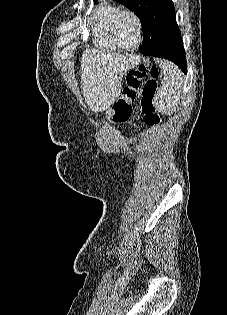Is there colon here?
<instances>
[{
	"label": "colon",
	"instance_id": "colon-1",
	"mask_svg": "<svg viewBox=\"0 0 227 315\" xmlns=\"http://www.w3.org/2000/svg\"><path fill=\"white\" fill-rule=\"evenodd\" d=\"M159 72L157 68H147L143 65L131 69L126 75V84L122 96L114 103L108 113L113 122H124L131 113V103L141 91L140 107L143 121L149 127L160 125V116L156 111L155 97L158 90Z\"/></svg>",
	"mask_w": 227,
	"mask_h": 315
}]
</instances>
